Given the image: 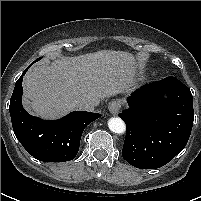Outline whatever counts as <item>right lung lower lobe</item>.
<instances>
[{"label": "right lung lower lobe", "instance_id": "right-lung-lower-lobe-1", "mask_svg": "<svg viewBox=\"0 0 201 201\" xmlns=\"http://www.w3.org/2000/svg\"><path fill=\"white\" fill-rule=\"evenodd\" d=\"M28 68L17 80L10 99L9 111L14 134L26 151L37 160H72L79 151L83 130L101 114L75 111L52 121L30 115L22 106V80Z\"/></svg>", "mask_w": 201, "mask_h": 201}]
</instances>
